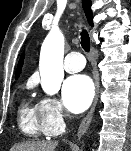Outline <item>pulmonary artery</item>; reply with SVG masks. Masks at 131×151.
I'll list each match as a JSON object with an SVG mask.
<instances>
[{
  "label": "pulmonary artery",
  "mask_w": 131,
  "mask_h": 151,
  "mask_svg": "<svg viewBox=\"0 0 131 151\" xmlns=\"http://www.w3.org/2000/svg\"><path fill=\"white\" fill-rule=\"evenodd\" d=\"M85 66V59L79 52H70L64 59V69L68 73L81 71Z\"/></svg>",
  "instance_id": "1"
}]
</instances>
